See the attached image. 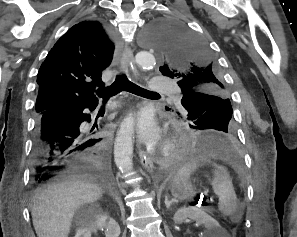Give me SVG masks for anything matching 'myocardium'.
<instances>
[{"label": "myocardium", "mask_w": 297, "mask_h": 237, "mask_svg": "<svg viewBox=\"0 0 297 237\" xmlns=\"http://www.w3.org/2000/svg\"><path fill=\"white\" fill-rule=\"evenodd\" d=\"M175 149V141L172 137H164L162 144L160 146L159 153L162 157H168L172 154Z\"/></svg>", "instance_id": "1"}]
</instances>
